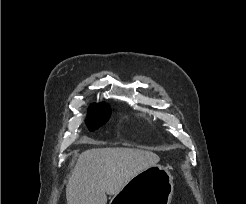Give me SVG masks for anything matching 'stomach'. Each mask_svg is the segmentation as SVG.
Masks as SVG:
<instances>
[{"instance_id":"0dacf381","label":"stomach","mask_w":246,"mask_h":204,"mask_svg":"<svg viewBox=\"0 0 246 204\" xmlns=\"http://www.w3.org/2000/svg\"><path fill=\"white\" fill-rule=\"evenodd\" d=\"M173 177L160 166H151L133 177L110 204H170L173 195Z\"/></svg>"}]
</instances>
